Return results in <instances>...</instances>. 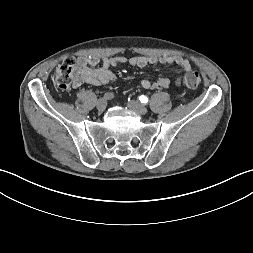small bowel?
<instances>
[{"label": "small bowel", "instance_id": "obj_1", "mask_svg": "<svg viewBox=\"0 0 253 253\" xmlns=\"http://www.w3.org/2000/svg\"><path fill=\"white\" fill-rule=\"evenodd\" d=\"M158 62L165 65L175 64L180 68V71H189L191 69L190 62L182 57L162 56L157 58L154 56H136L128 58L125 56H113L100 59L94 56H81L79 58L81 70L76 76L75 85H109L116 82V77L109 71L111 67L128 63L139 68H145ZM177 83H179V80ZM140 85L144 89L168 88L170 80L167 77L160 76L155 81L143 79Z\"/></svg>", "mask_w": 253, "mask_h": 253}]
</instances>
